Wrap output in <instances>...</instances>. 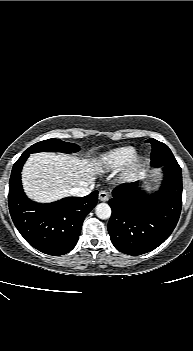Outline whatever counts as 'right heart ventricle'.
<instances>
[{
	"label": "right heart ventricle",
	"mask_w": 193,
	"mask_h": 351,
	"mask_svg": "<svg viewBox=\"0 0 193 351\" xmlns=\"http://www.w3.org/2000/svg\"><path fill=\"white\" fill-rule=\"evenodd\" d=\"M132 157L133 150L131 148H120L103 156L102 163L106 166H120L130 161Z\"/></svg>",
	"instance_id": "right-heart-ventricle-1"
}]
</instances>
